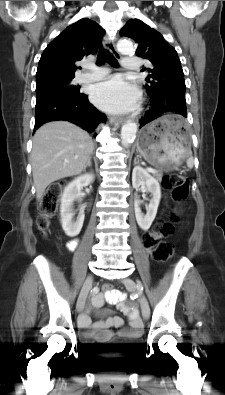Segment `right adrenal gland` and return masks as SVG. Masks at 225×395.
<instances>
[{"label": "right adrenal gland", "instance_id": "right-adrenal-gland-1", "mask_svg": "<svg viewBox=\"0 0 225 395\" xmlns=\"http://www.w3.org/2000/svg\"><path fill=\"white\" fill-rule=\"evenodd\" d=\"M87 166H89V167L91 166V156H90V158H89V160H88V162H87L86 167H87Z\"/></svg>", "mask_w": 225, "mask_h": 395}]
</instances>
